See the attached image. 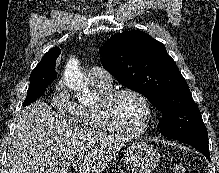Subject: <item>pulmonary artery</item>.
<instances>
[{"label": "pulmonary artery", "instance_id": "pulmonary-artery-1", "mask_svg": "<svg viewBox=\"0 0 219 173\" xmlns=\"http://www.w3.org/2000/svg\"><path fill=\"white\" fill-rule=\"evenodd\" d=\"M89 79L92 82L101 84H111L112 76L111 74L100 66L92 67L88 70Z\"/></svg>", "mask_w": 219, "mask_h": 173}]
</instances>
